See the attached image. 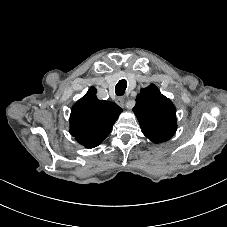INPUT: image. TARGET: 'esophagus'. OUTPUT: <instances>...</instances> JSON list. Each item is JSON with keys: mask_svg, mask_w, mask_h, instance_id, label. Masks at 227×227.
<instances>
[{"mask_svg": "<svg viewBox=\"0 0 227 227\" xmlns=\"http://www.w3.org/2000/svg\"><path fill=\"white\" fill-rule=\"evenodd\" d=\"M116 103L122 108H124V106H125V100L122 97L117 98Z\"/></svg>", "mask_w": 227, "mask_h": 227, "instance_id": "34e87169", "label": "esophagus"}]
</instances>
